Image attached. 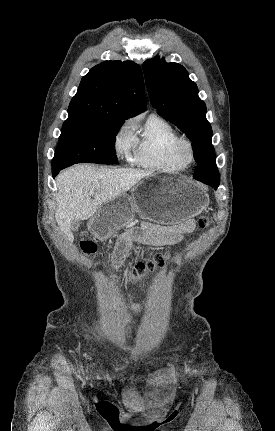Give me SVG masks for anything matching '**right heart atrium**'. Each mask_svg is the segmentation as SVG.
<instances>
[{
	"label": "right heart atrium",
	"instance_id": "d8ad5b80",
	"mask_svg": "<svg viewBox=\"0 0 275 431\" xmlns=\"http://www.w3.org/2000/svg\"><path fill=\"white\" fill-rule=\"evenodd\" d=\"M135 135L133 125L130 121L125 122L115 136V148L118 154H129L135 145Z\"/></svg>",
	"mask_w": 275,
	"mask_h": 431
}]
</instances>
